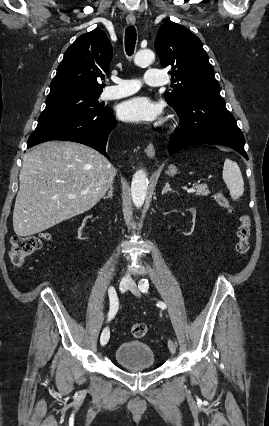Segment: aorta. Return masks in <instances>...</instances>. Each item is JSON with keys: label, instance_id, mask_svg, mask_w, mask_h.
<instances>
[{"label": "aorta", "instance_id": "1", "mask_svg": "<svg viewBox=\"0 0 269 426\" xmlns=\"http://www.w3.org/2000/svg\"><path fill=\"white\" fill-rule=\"evenodd\" d=\"M155 60V54L151 50H140L134 57V63L138 66L151 64ZM148 188V178L142 169L135 172L131 182V196L137 208L144 204Z\"/></svg>", "mask_w": 269, "mask_h": 426}]
</instances>
